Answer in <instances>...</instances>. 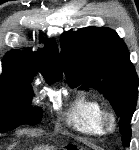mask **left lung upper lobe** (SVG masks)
I'll return each mask as SVG.
<instances>
[{
  "mask_svg": "<svg viewBox=\"0 0 139 150\" xmlns=\"http://www.w3.org/2000/svg\"><path fill=\"white\" fill-rule=\"evenodd\" d=\"M61 46L69 84L93 87L109 100L120 118L123 146L128 147L139 80L123 40L112 29L87 27L62 34Z\"/></svg>",
  "mask_w": 139,
  "mask_h": 150,
  "instance_id": "5c2ea615",
  "label": "left lung upper lobe"
}]
</instances>
